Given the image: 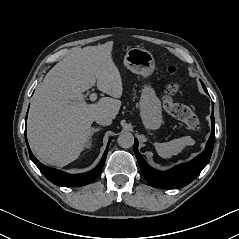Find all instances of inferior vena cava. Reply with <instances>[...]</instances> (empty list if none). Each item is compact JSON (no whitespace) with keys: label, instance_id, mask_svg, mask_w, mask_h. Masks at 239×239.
I'll list each match as a JSON object with an SVG mask.
<instances>
[{"label":"inferior vena cava","instance_id":"obj_1","mask_svg":"<svg viewBox=\"0 0 239 239\" xmlns=\"http://www.w3.org/2000/svg\"><path fill=\"white\" fill-rule=\"evenodd\" d=\"M94 120L97 124H100V125H110L112 123L111 114L106 111L98 113L94 117Z\"/></svg>","mask_w":239,"mask_h":239}]
</instances>
